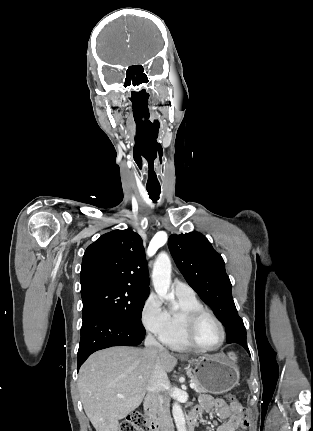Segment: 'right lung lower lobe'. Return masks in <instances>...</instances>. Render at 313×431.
Instances as JSON below:
<instances>
[{
	"label": "right lung lower lobe",
	"mask_w": 313,
	"mask_h": 431,
	"mask_svg": "<svg viewBox=\"0 0 313 431\" xmlns=\"http://www.w3.org/2000/svg\"><path fill=\"white\" fill-rule=\"evenodd\" d=\"M144 336V328L132 325L114 314L95 312L89 315L82 323L77 370L93 352L112 346H136Z\"/></svg>",
	"instance_id": "right-lung-lower-lobe-1"
}]
</instances>
